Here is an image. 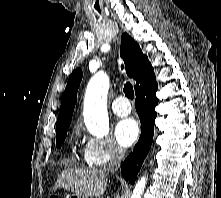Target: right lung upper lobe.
<instances>
[{"instance_id": "cb5924a9", "label": "right lung upper lobe", "mask_w": 221, "mask_h": 198, "mask_svg": "<svg viewBox=\"0 0 221 198\" xmlns=\"http://www.w3.org/2000/svg\"><path fill=\"white\" fill-rule=\"evenodd\" d=\"M121 57L124 60L127 75L136 80L135 92L143 88L155 77L147 56L142 53L139 45L127 33L122 34L121 37ZM81 80L82 70L78 68L68 79L62 97L56 131L70 126V120L77 100V90Z\"/></svg>"}]
</instances>
